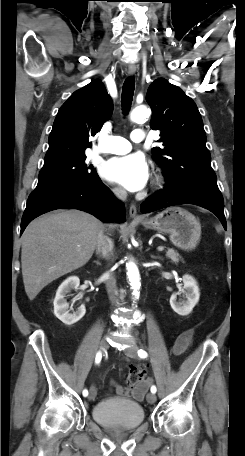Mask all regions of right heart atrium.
<instances>
[{
	"label": "right heart atrium",
	"mask_w": 245,
	"mask_h": 456,
	"mask_svg": "<svg viewBox=\"0 0 245 456\" xmlns=\"http://www.w3.org/2000/svg\"><path fill=\"white\" fill-rule=\"evenodd\" d=\"M112 192L114 193V195L116 196H121L123 194V191L120 189V188H113L112 189Z\"/></svg>",
	"instance_id": "obj_1"
}]
</instances>
